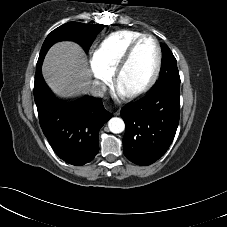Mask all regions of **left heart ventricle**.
Returning a JSON list of instances; mask_svg holds the SVG:
<instances>
[{
    "mask_svg": "<svg viewBox=\"0 0 227 227\" xmlns=\"http://www.w3.org/2000/svg\"><path fill=\"white\" fill-rule=\"evenodd\" d=\"M157 62V49L152 39L142 40L120 77L119 89L123 92L141 86L152 75Z\"/></svg>",
    "mask_w": 227,
    "mask_h": 227,
    "instance_id": "1",
    "label": "left heart ventricle"
}]
</instances>
